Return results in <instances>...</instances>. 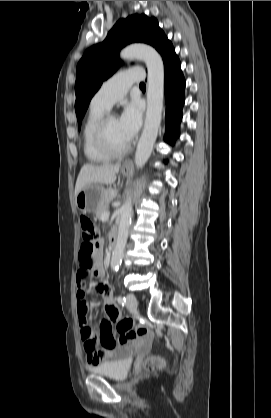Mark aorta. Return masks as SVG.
<instances>
[{"instance_id": "aorta-1", "label": "aorta", "mask_w": 271, "mask_h": 418, "mask_svg": "<svg viewBox=\"0 0 271 418\" xmlns=\"http://www.w3.org/2000/svg\"><path fill=\"white\" fill-rule=\"evenodd\" d=\"M121 59L138 58L145 62L148 72L147 78V112L144 129L139 139L135 165L142 168L149 159L155 144L161 123L164 96V65L160 54L152 47L144 44H133L120 53ZM133 208L132 199L128 195L120 208V223L118 237L111 258V269L116 271L121 264L128 238Z\"/></svg>"}]
</instances>
